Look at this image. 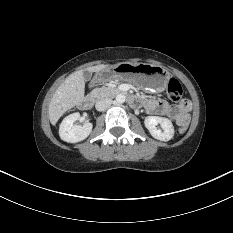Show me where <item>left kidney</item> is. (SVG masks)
I'll return each instance as SVG.
<instances>
[{"label": "left kidney", "mask_w": 233, "mask_h": 233, "mask_svg": "<svg viewBox=\"0 0 233 233\" xmlns=\"http://www.w3.org/2000/svg\"><path fill=\"white\" fill-rule=\"evenodd\" d=\"M145 127L149 130L152 137L160 141H169L174 136V127L172 122L164 117L147 116L144 120ZM160 124L163 131L157 129Z\"/></svg>", "instance_id": "5707ae66"}]
</instances>
